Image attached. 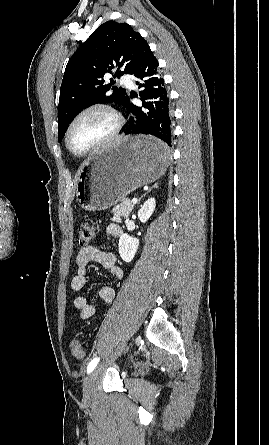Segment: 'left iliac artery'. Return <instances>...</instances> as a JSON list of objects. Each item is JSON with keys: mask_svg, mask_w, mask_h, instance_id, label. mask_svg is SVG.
<instances>
[{"mask_svg": "<svg viewBox=\"0 0 269 445\" xmlns=\"http://www.w3.org/2000/svg\"><path fill=\"white\" fill-rule=\"evenodd\" d=\"M100 358L96 357L93 360H91V362L88 364L87 366V373H91L94 368L97 366L98 362H99Z\"/></svg>", "mask_w": 269, "mask_h": 445, "instance_id": "obj_1", "label": "left iliac artery"}]
</instances>
